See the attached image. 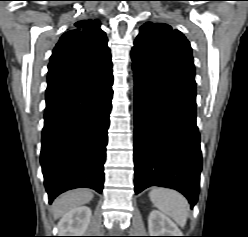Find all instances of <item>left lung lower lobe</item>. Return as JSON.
<instances>
[{"mask_svg": "<svg viewBox=\"0 0 248 237\" xmlns=\"http://www.w3.org/2000/svg\"><path fill=\"white\" fill-rule=\"evenodd\" d=\"M135 192L173 188L194 206L202 156L196 126V90L172 86L133 65Z\"/></svg>", "mask_w": 248, "mask_h": 237, "instance_id": "0a47b994", "label": "left lung lower lobe"}]
</instances>
